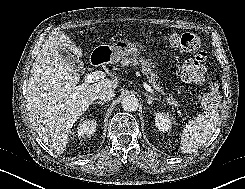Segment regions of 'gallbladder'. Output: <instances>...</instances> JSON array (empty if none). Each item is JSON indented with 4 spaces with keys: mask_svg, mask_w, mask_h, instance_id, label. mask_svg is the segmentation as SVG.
Returning <instances> with one entry per match:
<instances>
[{
    "mask_svg": "<svg viewBox=\"0 0 245 189\" xmlns=\"http://www.w3.org/2000/svg\"><path fill=\"white\" fill-rule=\"evenodd\" d=\"M59 53L62 59L73 69L81 71L84 67L83 62H81L77 57H75L68 49L62 47L59 48Z\"/></svg>",
    "mask_w": 245,
    "mask_h": 189,
    "instance_id": "bac80fb5",
    "label": "gallbladder"
}]
</instances>
